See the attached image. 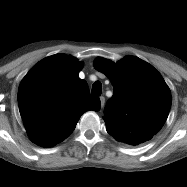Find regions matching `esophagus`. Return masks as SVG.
<instances>
[{
  "instance_id": "esophagus-1",
  "label": "esophagus",
  "mask_w": 187,
  "mask_h": 187,
  "mask_svg": "<svg viewBox=\"0 0 187 187\" xmlns=\"http://www.w3.org/2000/svg\"><path fill=\"white\" fill-rule=\"evenodd\" d=\"M100 102H101V107L103 108L104 104H105V97L104 96L100 97Z\"/></svg>"
}]
</instances>
